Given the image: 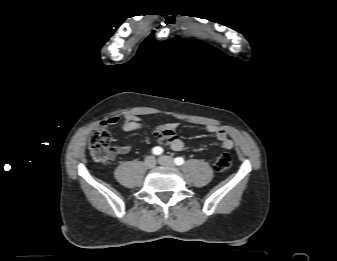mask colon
Instances as JSON below:
<instances>
[{
    "instance_id": "1",
    "label": "colon",
    "mask_w": 337,
    "mask_h": 261,
    "mask_svg": "<svg viewBox=\"0 0 337 261\" xmlns=\"http://www.w3.org/2000/svg\"><path fill=\"white\" fill-rule=\"evenodd\" d=\"M89 152L92 159L99 164L107 163L114 155L115 149L111 145V136L107 131L96 130L89 138ZM231 166L229 153H221L214 164L217 171H225Z\"/></svg>"
}]
</instances>
